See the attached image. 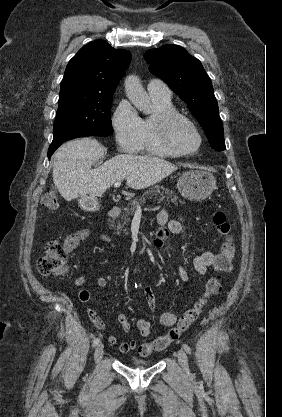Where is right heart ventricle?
<instances>
[{
    "label": "right heart ventricle",
    "instance_id": "e07e8e85",
    "mask_svg": "<svg viewBox=\"0 0 282 417\" xmlns=\"http://www.w3.org/2000/svg\"><path fill=\"white\" fill-rule=\"evenodd\" d=\"M155 112L151 115L140 118L143 144L142 149L159 155H174L162 142L159 132L154 124L155 115L160 111H175L170 100L152 98Z\"/></svg>",
    "mask_w": 282,
    "mask_h": 417
}]
</instances>
